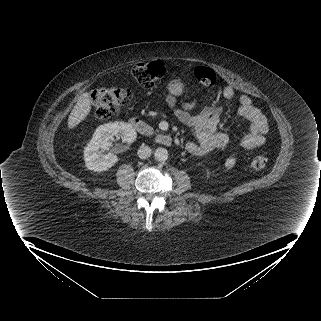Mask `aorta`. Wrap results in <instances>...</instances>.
<instances>
[{"label":"aorta","instance_id":"1","mask_svg":"<svg viewBox=\"0 0 321 321\" xmlns=\"http://www.w3.org/2000/svg\"><path fill=\"white\" fill-rule=\"evenodd\" d=\"M154 157L159 162H164L168 159V151L165 148H157Z\"/></svg>","mask_w":321,"mask_h":321}]
</instances>
